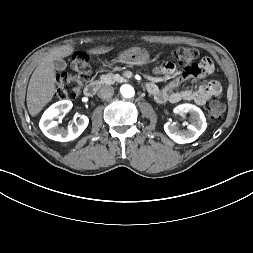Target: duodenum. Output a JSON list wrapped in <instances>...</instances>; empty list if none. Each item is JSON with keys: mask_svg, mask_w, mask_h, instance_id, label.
Wrapping results in <instances>:
<instances>
[{"mask_svg": "<svg viewBox=\"0 0 253 253\" xmlns=\"http://www.w3.org/2000/svg\"><path fill=\"white\" fill-rule=\"evenodd\" d=\"M102 84L103 81L100 79L88 83L84 88V95L86 97L94 96Z\"/></svg>", "mask_w": 253, "mask_h": 253, "instance_id": "duodenum-1", "label": "duodenum"}]
</instances>
